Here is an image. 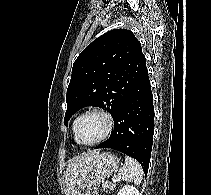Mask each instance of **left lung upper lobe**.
<instances>
[{
  "mask_svg": "<svg viewBox=\"0 0 211 195\" xmlns=\"http://www.w3.org/2000/svg\"><path fill=\"white\" fill-rule=\"evenodd\" d=\"M146 72L141 44L130 30L101 35L73 64L64 123L86 106L104 108L114 117Z\"/></svg>",
  "mask_w": 211,
  "mask_h": 195,
  "instance_id": "obj_1",
  "label": "left lung upper lobe"
}]
</instances>
